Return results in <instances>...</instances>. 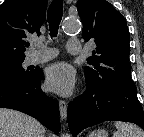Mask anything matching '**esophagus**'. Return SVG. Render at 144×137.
<instances>
[{
    "mask_svg": "<svg viewBox=\"0 0 144 137\" xmlns=\"http://www.w3.org/2000/svg\"><path fill=\"white\" fill-rule=\"evenodd\" d=\"M59 108H60V116L62 119L67 118V102L64 100L59 101Z\"/></svg>",
    "mask_w": 144,
    "mask_h": 137,
    "instance_id": "esophagus-1",
    "label": "esophagus"
}]
</instances>
